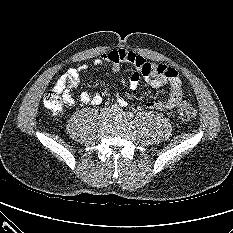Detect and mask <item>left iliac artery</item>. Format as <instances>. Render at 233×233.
<instances>
[{"label":"left iliac artery","instance_id":"44dca946","mask_svg":"<svg viewBox=\"0 0 233 233\" xmlns=\"http://www.w3.org/2000/svg\"><path fill=\"white\" fill-rule=\"evenodd\" d=\"M133 113L132 112H127L126 113V117L128 118V119H132L133 118Z\"/></svg>","mask_w":233,"mask_h":233}]
</instances>
